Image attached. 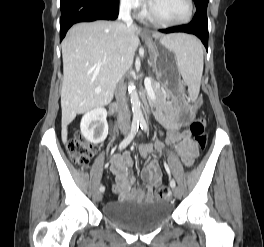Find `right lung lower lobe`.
Returning <instances> with one entry per match:
<instances>
[{
  "mask_svg": "<svg viewBox=\"0 0 264 247\" xmlns=\"http://www.w3.org/2000/svg\"><path fill=\"white\" fill-rule=\"evenodd\" d=\"M60 41L75 23L95 20H115L119 0H60Z\"/></svg>",
  "mask_w": 264,
  "mask_h": 247,
  "instance_id": "obj_1",
  "label": "right lung lower lobe"
}]
</instances>
